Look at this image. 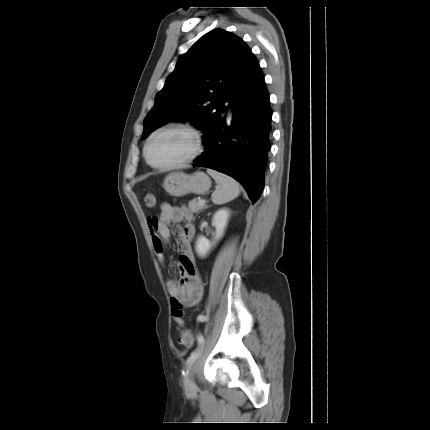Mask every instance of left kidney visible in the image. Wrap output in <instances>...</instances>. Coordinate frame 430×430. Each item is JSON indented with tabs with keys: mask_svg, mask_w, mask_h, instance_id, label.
Here are the masks:
<instances>
[{
	"mask_svg": "<svg viewBox=\"0 0 430 430\" xmlns=\"http://www.w3.org/2000/svg\"><path fill=\"white\" fill-rule=\"evenodd\" d=\"M229 210L223 208L218 210L212 219V225L215 227V236L213 241L208 240L205 236L199 235L196 240L195 249L200 257H205L212 247L223 237L229 220Z\"/></svg>",
	"mask_w": 430,
	"mask_h": 430,
	"instance_id": "obj_1",
	"label": "left kidney"
}]
</instances>
